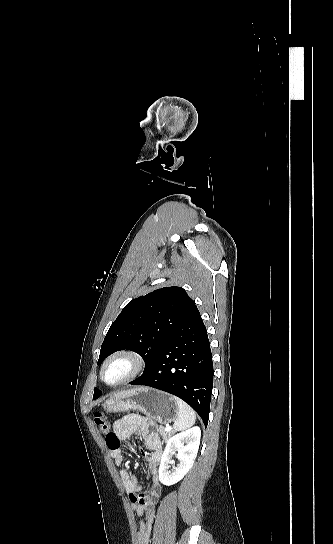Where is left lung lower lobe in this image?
I'll use <instances>...</instances> for the list:
<instances>
[{"label":"left lung lower lobe","instance_id":"0a47b994","mask_svg":"<svg viewBox=\"0 0 333 544\" xmlns=\"http://www.w3.org/2000/svg\"><path fill=\"white\" fill-rule=\"evenodd\" d=\"M213 375L207 330L195 305L147 371L130 384L150 386L181 398L207 426Z\"/></svg>","mask_w":333,"mask_h":544}]
</instances>
